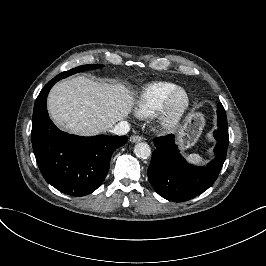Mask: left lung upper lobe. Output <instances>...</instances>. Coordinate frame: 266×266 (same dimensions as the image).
<instances>
[{
	"mask_svg": "<svg viewBox=\"0 0 266 266\" xmlns=\"http://www.w3.org/2000/svg\"><path fill=\"white\" fill-rule=\"evenodd\" d=\"M218 107H219V109H218V111H217L218 116H219V115H226V113H225V109H224V107L222 106L221 103L219 104Z\"/></svg>",
	"mask_w": 266,
	"mask_h": 266,
	"instance_id": "1",
	"label": "left lung upper lobe"
}]
</instances>
